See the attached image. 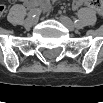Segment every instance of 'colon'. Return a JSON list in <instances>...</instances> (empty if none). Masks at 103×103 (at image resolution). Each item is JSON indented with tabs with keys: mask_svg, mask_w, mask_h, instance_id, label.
I'll return each mask as SVG.
<instances>
[{
	"mask_svg": "<svg viewBox=\"0 0 103 103\" xmlns=\"http://www.w3.org/2000/svg\"><path fill=\"white\" fill-rule=\"evenodd\" d=\"M88 6L94 9L99 15L103 14V2L101 0H89L86 2ZM4 12V7H0V14Z\"/></svg>",
	"mask_w": 103,
	"mask_h": 103,
	"instance_id": "obj_1",
	"label": "colon"
}]
</instances>
